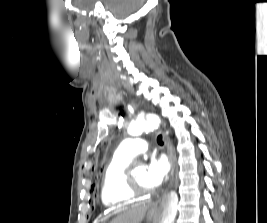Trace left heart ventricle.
Masks as SVG:
<instances>
[{
  "instance_id": "1",
  "label": "left heart ventricle",
  "mask_w": 267,
  "mask_h": 223,
  "mask_svg": "<svg viewBox=\"0 0 267 223\" xmlns=\"http://www.w3.org/2000/svg\"><path fill=\"white\" fill-rule=\"evenodd\" d=\"M145 173H146V170L144 168L139 169L137 172L133 174V178L141 188L146 189V190H151L152 188L146 182Z\"/></svg>"
}]
</instances>
